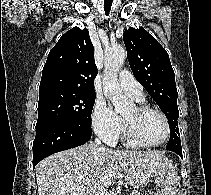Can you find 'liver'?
<instances>
[{"instance_id": "6515ba94", "label": "liver", "mask_w": 211, "mask_h": 195, "mask_svg": "<svg viewBox=\"0 0 211 195\" xmlns=\"http://www.w3.org/2000/svg\"><path fill=\"white\" fill-rule=\"evenodd\" d=\"M161 159L168 161L159 151L103 150L95 144H84L57 152L36 166L38 194L96 195L99 185L106 188L119 177L134 187L130 174L145 172L150 178Z\"/></svg>"}]
</instances>
